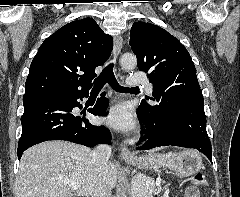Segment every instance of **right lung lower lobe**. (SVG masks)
Masks as SVG:
<instances>
[{
    "label": "right lung lower lobe",
    "instance_id": "right-lung-lower-lobe-1",
    "mask_svg": "<svg viewBox=\"0 0 240 197\" xmlns=\"http://www.w3.org/2000/svg\"><path fill=\"white\" fill-rule=\"evenodd\" d=\"M88 94L89 92L77 94L62 92L23 102L18 159L29 147L48 140H67L87 147H93L98 143L110 144V133L104 126H93L85 117L71 113L74 107H82L78 99L82 100ZM101 95L103 97L90 109V113L94 115H102L108 106L105 93Z\"/></svg>",
    "mask_w": 240,
    "mask_h": 197
}]
</instances>
